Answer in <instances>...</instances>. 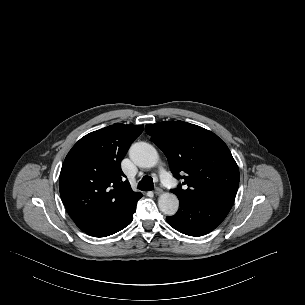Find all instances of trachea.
<instances>
[{
	"label": "trachea",
	"instance_id": "obj_1",
	"mask_svg": "<svg viewBox=\"0 0 305 305\" xmlns=\"http://www.w3.org/2000/svg\"><path fill=\"white\" fill-rule=\"evenodd\" d=\"M153 180L150 176H144L138 184V189L142 191H151L153 190Z\"/></svg>",
	"mask_w": 305,
	"mask_h": 305
}]
</instances>
